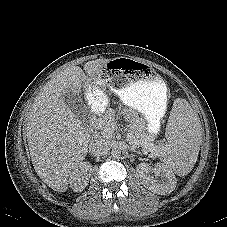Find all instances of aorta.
Segmentation results:
<instances>
[{
	"instance_id": "1",
	"label": "aorta",
	"mask_w": 227,
	"mask_h": 227,
	"mask_svg": "<svg viewBox=\"0 0 227 227\" xmlns=\"http://www.w3.org/2000/svg\"><path fill=\"white\" fill-rule=\"evenodd\" d=\"M111 156L113 158H119L121 156V150L119 148H117V147L112 148Z\"/></svg>"
}]
</instances>
